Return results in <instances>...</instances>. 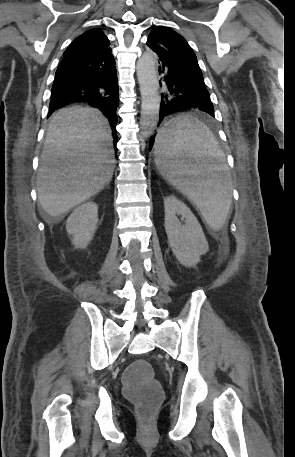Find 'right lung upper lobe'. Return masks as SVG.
<instances>
[{"label": "right lung upper lobe", "instance_id": "right-lung-upper-lobe-1", "mask_svg": "<svg viewBox=\"0 0 295 457\" xmlns=\"http://www.w3.org/2000/svg\"><path fill=\"white\" fill-rule=\"evenodd\" d=\"M110 42L102 30L94 28L74 39L63 53L64 59L82 58L99 54Z\"/></svg>", "mask_w": 295, "mask_h": 457}]
</instances>
